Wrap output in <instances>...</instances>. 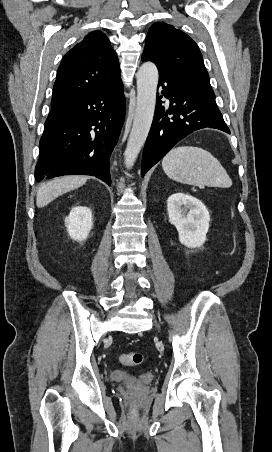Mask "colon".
<instances>
[{
    "mask_svg": "<svg viewBox=\"0 0 272 452\" xmlns=\"http://www.w3.org/2000/svg\"><path fill=\"white\" fill-rule=\"evenodd\" d=\"M143 361V355L139 352L125 353L120 356V362L127 366H137Z\"/></svg>",
    "mask_w": 272,
    "mask_h": 452,
    "instance_id": "colon-1",
    "label": "colon"
}]
</instances>
